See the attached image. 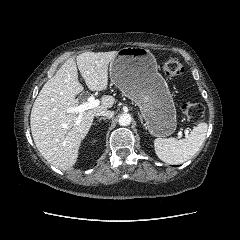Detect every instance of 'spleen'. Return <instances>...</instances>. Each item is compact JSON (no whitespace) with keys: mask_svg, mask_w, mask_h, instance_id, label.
<instances>
[{"mask_svg":"<svg viewBox=\"0 0 240 240\" xmlns=\"http://www.w3.org/2000/svg\"><path fill=\"white\" fill-rule=\"evenodd\" d=\"M208 124L199 123L185 139L157 138L154 141L155 153L168 164H181L193 157L204 143Z\"/></svg>","mask_w":240,"mask_h":240,"instance_id":"obj_1","label":"spleen"}]
</instances>
